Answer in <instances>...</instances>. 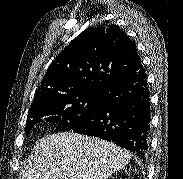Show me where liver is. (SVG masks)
Wrapping results in <instances>:
<instances>
[{"label":"liver","mask_w":183,"mask_h":179,"mask_svg":"<svg viewBox=\"0 0 183 179\" xmlns=\"http://www.w3.org/2000/svg\"><path fill=\"white\" fill-rule=\"evenodd\" d=\"M131 156L119 146L73 132L46 136L24 162L22 179H107Z\"/></svg>","instance_id":"1"}]
</instances>
